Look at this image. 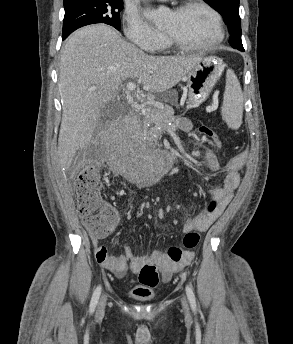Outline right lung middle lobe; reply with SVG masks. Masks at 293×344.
<instances>
[{
	"label": "right lung middle lobe",
	"mask_w": 293,
	"mask_h": 344,
	"mask_svg": "<svg viewBox=\"0 0 293 344\" xmlns=\"http://www.w3.org/2000/svg\"><path fill=\"white\" fill-rule=\"evenodd\" d=\"M65 17L62 39L76 29L95 23H105L120 30L123 0H78L64 4Z\"/></svg>",
	"instance_id": "right-lung-middle-lobe-1"
}]
</instances>
